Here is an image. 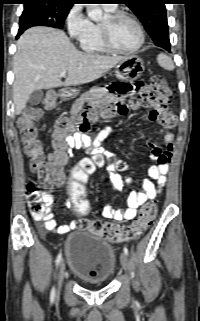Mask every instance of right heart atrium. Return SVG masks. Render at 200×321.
I'll list each match as a JSON object with an SVG mask.
<instances>
[{"label": "right heart atrium", "mask_w": 200, "mask_h": 321, "mask_svg": "<svg viewBox=\"0 0 200 321\" xmlns=\"http://www.w3.org/2000/svg\"><path fill=\"white\" fill-rule=\"evenodd\" d=\"M65 23L68 34L74 39L82 37L91 27V21L84 14L82 7L77 4L73 5L68 11Z\"/></svg>", "instance_id": "right-heart-atrium-1"}]
</instances>
